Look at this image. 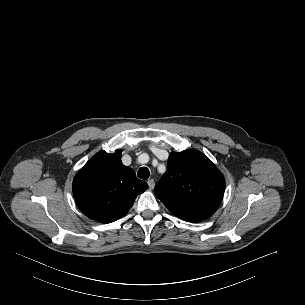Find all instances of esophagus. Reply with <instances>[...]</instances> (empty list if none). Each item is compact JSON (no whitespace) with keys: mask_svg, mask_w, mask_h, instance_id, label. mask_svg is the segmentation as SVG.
I'll list each match as a JSON object with an SVG mask.
<instances>
[{"mask_svg":"<svg viewBox=\"0 0 305 305\" xmlns=\"http://www.w3.org/2000/svg\"><path fill=\"white\" fill-rule=\"evenodd\" d=\"M147 183H148V186H149L150 190L154 189V187H155L154 179H149Z\"/></svg>","mask_w":305,"mask_h":305,"instance_id":"obj_1","label":"esophagus"}]
</instances>
